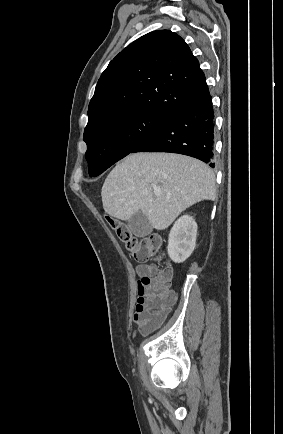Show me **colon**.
<instances>
[{
	"instance_id": "obj_1",
	"label": "colon",
	"mask_w": 283,
	"mask_h": 434,
	"mask_svg": "<svg viewBox=\"0 0 283 434\" xmlns=\"http://www.w3.org/2000/svg\"><path fill=\"white\" fill-rule=\"evenodd\" d=\"M106 219L136 261L145 263L151 259H160V241L156 236H136L118 219L110 216ZM171 277V269L164 266L151 275L139 278L134 322L140 331L151 332L164 321L174 302V293L169 289Z\"/></svg>"
}]
</instances>
